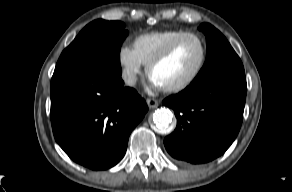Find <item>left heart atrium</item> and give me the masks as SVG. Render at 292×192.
<instances>
[{"instance_id":"left-heart-atrium-1","label":"left heart atrium","mask_w":292,"mask_h":192,"mask_svg":"<svg viewBox=\"0 0 292 192\" xmlns=\"http://www.w3.org/2000/svg\"><path fill=\"white\" fill-rule=\"evenodd\" d=\"M150 84L153 88H161V86L151 78H150Z\"/></svg>"}]
</instances>
